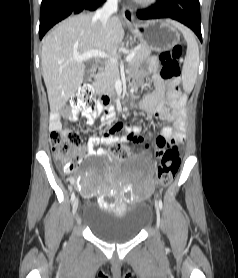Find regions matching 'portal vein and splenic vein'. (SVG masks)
<instances>
[{"mask_svg":"<svg viewBox=\"0 0 238 278\" xmlns=\"http://www.w3.org/2000/svg\"><path fill=\"white\" fill-rule=\"evenodd\" d=\"M135 56V52L132 51L131 53H129L126 57V62H130ZM92 57H99V58H108L113 64H115L117 62V60L113 57H110L107 53L100 51V50H90L87 51L85 53H83L80 56H75L74 59L77 61H85L87 59H90Z\"/></svg>","mask_w":238,"mask_h":278,"instance_id":"1","label":"portal vein and splenic vein"}]
</instances>
